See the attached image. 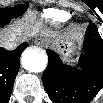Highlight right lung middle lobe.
Instances as JSON below:
<instances>
[{"instance_id": "obj_1", "label": "right lung middle lobe", "mask_w": 103, "mask_h": 103, "mask_svg": "<svg viewBox=\"0 0 103 103\" xmlns=\"http://www.w3.org/2000/svg\"><path fill=\"white\" fill-rule=\"evenodd\" d=\"M26 9L27 6L25 5H20L13 8H0V21L11 20L12 18L19 17L25 12Z\"/></svg>"}]
</instances>
